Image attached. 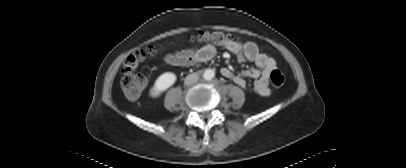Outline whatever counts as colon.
<instances>
[{"mask_svg": "<svg viewBox=\"0 0 406 168\" xmlns=\"http://www.w3.org/2000/svg\"><path fill=\"white\" fill-rule=\"evenodd\" d=\"M192 41L199 43L212 44L215 46L225 47L236 42L235 38L221 31H200L191 37ZM156 53L153 45L138 50L127 58L121 70V87L127 98L137 99L143 92L147 79L142 74L136 72L139 64L146 56ZM271 83L275 87H281L284 84L283 74L274 69L270 73Z\"/></svg>", "mask_w": 406, "mask_h": 168, "instance_id": "colon-1", "label": "colon"}]
</instances>
